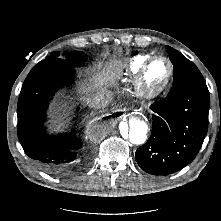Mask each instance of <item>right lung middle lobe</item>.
Listing matches in <instances>:
<instances>
[{
    "label": "right lung middle lobe",
    "instance_id": "right-lung-middle-lobe-1",
    "mask_svg": "<svg viewBox=\"0 0 221 221\" xmlns=\"http://www.w3.org/2000/svg\"><path fill=\"white\" fill-rule=\"evenodd\" d=\"M55 58H59V52H54L52 53L47 59H55ZM65 61H67L70 65H72L73 67L76 66H81L85 61H86V55L83 54L82 52H73V53H69L65 59H63Z\"/></svg>",
    "mask_w": 221,
    "mask_h": 221
}]
</instances>
